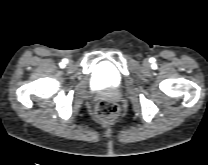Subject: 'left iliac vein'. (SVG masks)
I'll list each match as a JSON object with an SVG mask.
<instances>
[{
  "label": "left iliac vein",
  "mask_w": 208,
  "mask_h": 165,
  "mask_svg": "<svg viewBox=\"0 0 208 165\" xmlns=\"http://www.w3.org/2000/svg\"><path fill=\"white\" fill-rule=\"evenodd\" d=\"M143 65H144V66H148V65H149V62H148L147 60H145V61L143 62Z\"/></svg>",
  "instance_id": "obj_1"
}]
</instances>
